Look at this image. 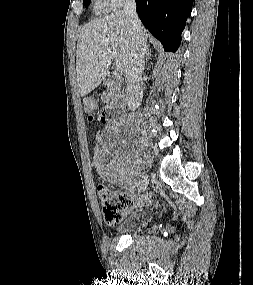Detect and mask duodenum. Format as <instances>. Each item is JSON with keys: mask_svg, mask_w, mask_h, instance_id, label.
Returning <instances> with one entry per match:
<instances>
[{"mask_svg": "<svg viewBox=\"0 0 253 285\" xmlns=\"http://www.w3.org/2000/svg\"><path fill=\"white\" fill-rule=\"evenodd\" d=\"M104 85L108 88V93L105 98L108 100L110 98L111 92L114 89V84L112 82L106 81ZM123 106L122 100H117L114 104L110 105L107 109V116L109 119L114 118V116L119 112L120 108Z\"/></svg>", "mask_w": 253, "mask_h": 285, "instance_id": "1", "label": "duodenum"}]
</instances>
